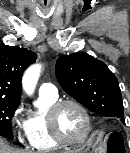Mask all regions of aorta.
I'll use <instances>...</instances> for the list:
<instances>
[{"label": "aorta", "instance_id": "762f6f07", "mask_svg": "<svg viewBox=\"0 0 130 153\" xmlns=\"http://www.w3.org/2000/svg\"><path fill=\"white\" fill-rule=\"evenodd\" d=\"M41 69L42 66L40 64H33L25 71L22 78V87L28 95L34 93L36 84L40 77Z\"/></svg>", "mask_w": 130, "mask_h": 153}]
</instances>
